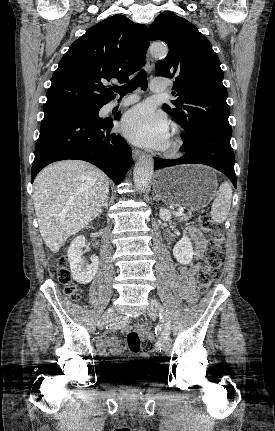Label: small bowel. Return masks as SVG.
<instances>
[{"label": "small bowel", "instance_id": "obj_1", "mask_svg": "<svg viewBox=\"0 0 275 431\" xmlns=\"http://www.w3.org/2000/svg\"><path fill=\"white\" fill-rule=\"evenodd\" d=\"M189 233L195 244V256L200 259L205 250V238L202 233L195 227H189ZM198 270V264L184 265L179 268V283L182 297L188 303H194L197 300V293L195 290L194 276ZM143 340H151L153 334L151 333L147 324L135 326ZM99 352L102 356H107L109 349L112 356H118L121 353L119 341L116 336H109L104 334L98 342Z\"/></svg>", "mask_w": 275, "mask_h": 431}]
</instances>
